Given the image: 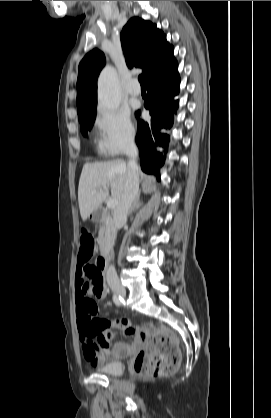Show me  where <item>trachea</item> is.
<instances>
[{
    "label": "trachea",
    "instance_id": "trachea-1",
    "mask_svg": "<svg viewBox=\"0 0 271 418\" xmlns=\"http://www.w3.org/2000/svg\"><path fill=\"white\" fill-rule=\"evenodd\" d=\"M138 80H139V82H140V85H141V86H145V84H144V78H143V76H142V75H140V76L138 77Z\"/></svg>",
    "mask_w": 271,
    "mask_h": 418
}]
</instances>
